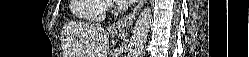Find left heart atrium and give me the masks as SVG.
Here are the masks:
<instances>
[{
    "label": "left heart atrium",
    "instance_id": "39dd6f15",
    "mask_svg": "<svg viewBox=\"0 0 249 57\" xmlns=\"http://www.w3.org/2000/svg\"><path fill=\"white\" fill-rule=\"evenodd\" d=\"M120 3H130L131 0H119Z\"/></svg>",
    "mask_w": 249,
    "mask_h": 57
}]
</instances>
